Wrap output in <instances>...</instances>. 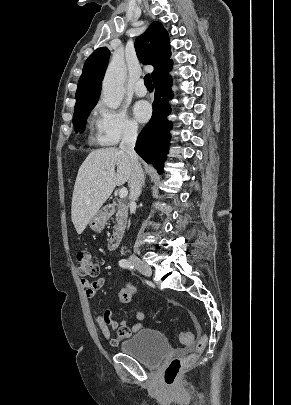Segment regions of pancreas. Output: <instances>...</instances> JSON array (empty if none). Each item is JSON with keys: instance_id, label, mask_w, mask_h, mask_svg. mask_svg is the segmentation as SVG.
Instances as JSON below:
<instances>
[{"instance_id": "pancreas-1", "label": "pancreas", "mask_w": 291, "mask_h": 405, "mask_svg": "<svg viewBox=\"0 0 291 405\" xmlns=\"http://www.w3.org/2000/svg\"><path fill=\"white\" fill-rule=\"evenodd\" d=\"M127 219V212L122 209L121 202L119 201L117 204V211H116V224L114 229H118L120 227L125 226Z\"/></svg>"}]
</instances>
